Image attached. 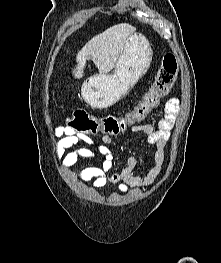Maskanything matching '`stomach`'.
Here are the masks:
<instances>
[{
  "instance_id": "0dacf381",
  "label": "stomach",
  "mask_w": 221,
  "mask_h": 263,
  "mask_svg": "<svg viewBox=\"0 0 221 263\" xmlns=\"http://www.w3.org/2000/svg\"><path fill=\"white\" fill-rule=\"evenodd\" d=\"M153 50L145 37L133 33L128 37L112 74L100 73L86 79L81 94L96 109L112 106L122 99L147 72Z\"/></svg>"
}]
</instances>
